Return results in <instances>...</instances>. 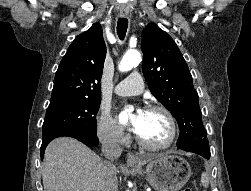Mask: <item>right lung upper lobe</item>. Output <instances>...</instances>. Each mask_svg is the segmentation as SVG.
Here are the masks:
<instances>
[{
  "instance_id": "obj_1",
  "label": "right lung upper lobe",
  "mask_w": 251,
  "mask_h": 191,
  "mask_svg": "<svg viewBox=\"0 0 251 191\" xmlns=\"http://www.w3.org/2000/svg\"><path fill=\"white\" fill-rule=\"evenodd\" d=\"M105 57L102 28L95 23L75 38L61 60L49 106L101 99L100 80Z\"/></svg>"
}]
</instances>
